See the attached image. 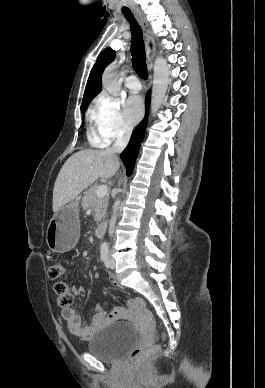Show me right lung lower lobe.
I'll return each mask as SVG.
<instances>
[{
	"mask_svg": "<svg viewBox=\"0 0 265 388\" xmlns=\"http://www.w3.org/2000/svg\"><path fill=\"white\" fill-rule=\"evenodd\" d=\"M145 102H146V116L136 127V129L133 131V134L131 136L128 146L121 153V159L126 167V173L128 176H130L133 172L135 161L139 153L140 144L145 135V130L147 126V114H148L149 104H150L149 92L147 93Z\"/></svg>",
	"mask_w": 265,
	"mask_h": 388,
	"instance_id": "1",
	"label": "right lung lower lobe"
}]
</instances>
